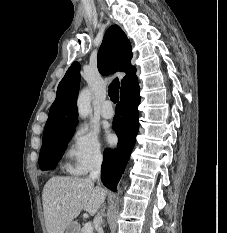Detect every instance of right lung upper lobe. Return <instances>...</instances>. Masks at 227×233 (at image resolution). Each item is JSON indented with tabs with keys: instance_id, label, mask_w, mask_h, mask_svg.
I'll use <instances>...</instances> for the list:
<instances>
[{
	"instance_id": "1",
	"label": "right lung upper lobe",
	"mask_w": 227,
	"mask_h": 233,
	"mask_svg": "<svg viewBox=\"0 0 227 233\" xmlns=\"http://www.w3.org/2000/svg\"><path fill=\"white\" fill-rule=\"evenodd\" d=\"M132 49L124 31L114 25L106 31L97 58L98 70L103 75L126 72L121 81V96L138 86L136 68L131 66ZM80 68L74 62L57 88L44 129L43 140H49L72 130L77 124L76 100L79 91Z\"/></svg>"
}]
</instances>
